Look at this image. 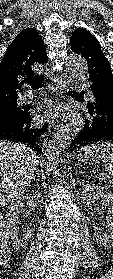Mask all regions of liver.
Returning <instances> with one entry per match:
<instances>
[{
  "mask_svg": "<svg viewBox=\"0 0 113 279\" xmlns=\"http://www.w3.org/2000/svg\"><path fill=\"white\" fill-rule=\"evenodd\" d=\"M38 163L39 157L26 145L0 141V207L24 194Z\"/></svg>",
  "mask_w": 113,
  "mask_h": 279,
  "instance_id": "1",
  "label": "liver"
}]
</instances>
